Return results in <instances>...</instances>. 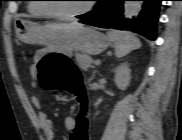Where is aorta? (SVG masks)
Here are the masks:
<instances>
[{
  "label": "aorta",
  "instance_id": "aorta-1",
  "mask_svg": "<svg viewBox=\"0 0 182 140\" xmlns=\"http://www.w3.org/2000/svg\"><path fill=\"white\" fill-rule=\"evenodd\" d=\"M142 3V1H126L124 4V16L126 18H132L139 12Z\"/></svg>",
  "mask_w": 182,
  "mask_h": 140
}]
</instances>
